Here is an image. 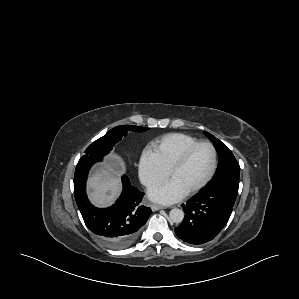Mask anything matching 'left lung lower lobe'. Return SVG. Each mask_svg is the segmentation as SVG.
<instances>
[{
    "label": "left lung lower lobe",
    "mask_w": 299,
    "mask_h": 299,
    "mask_svg": "<svg viewBox=\"0 0 299 299\" xmlns=\"http://www.w3.org/2000/svg\"><path fill=\"white\" fill-rule=\"evenodd\" d=\"M237 193L216 188L204 189L182 204L185 218L175 228L176 235L190 244H203L214 239L228 222Z\"/></svg>",
    "instance_id": "obj_1"
}]
</instances>
